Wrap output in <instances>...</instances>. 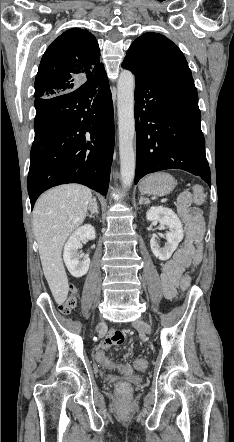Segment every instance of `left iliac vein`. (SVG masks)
<instances>
[{"label": "left iliac vein", "mask_w": 234, "mask_h": 442, "mask_svg": "<svg viewBox=\"0 0 234 442\" xmlns=\"http://www.w3.org/2000/svg\"><path fill=\"white\" fill-rule=\"evenodd\" d=\"M133 326L136 329L144 331V332H146L148 334L151 333V326L148 323L144 322L143 320L139 319V320L134 321L133 322Z\"/></svg>", "instance_id": "left-iliac-vein-1"}]
</instances>
